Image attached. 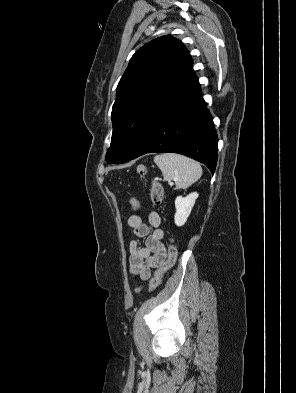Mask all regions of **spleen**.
I'll return each mask as SVG.
<instances>
[{
	"instance_id": "obj_1",
	"label": "spleen",
	"mask_w": 296,
	"mask_h": 393,
	"mask_svg": "<svg viewBox=\"0 0 296 393\" xmlns=\"http://www.w3.org/2000/svg\"><path fill=\"white\" fill-rule=\"evenodd\" d=\"M154 163L166 181H175L177 188L186 189L202 176L200 164L175 153H164L154 157Z\"/></svg>"
}]
</instances>
